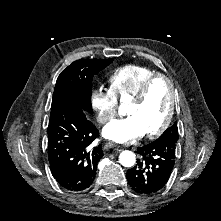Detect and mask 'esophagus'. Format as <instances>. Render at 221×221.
<instances>
[{"mask_svg":"<svg viewBox=\"0 0 221 221\" xmlns=\"http://www.w3.org/2000/svg\"><path fill=\"white\" fill-rule=\"evenodd\" d=\"M120 146H118L117 144L113 143V142H106L104 145H103V148L105 150L107 149H110V148H119Z\"/></svg>","mask_w":221,"mask_h":221,"instance_id":"esophagus-1","label":"esophagus"}]
</instances>
